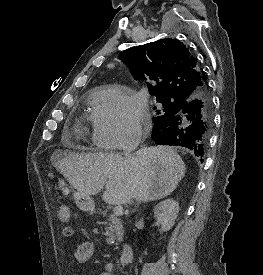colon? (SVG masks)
I'll return each instance as SVG.
<instances>
[{"instance_id":"5ec220e1","label":"colon","mask_w":263,"mask_h":275,"mask_svg":"<svg viewBox=\"0 0 263 275\" xmlns=\"http://www.w3.org/2000/svg\"><path fill=\"white\" fill-rule=\"evenodd\" d=\"M58 218L61 222H69L71 219V211L67 205H61L57 211Z\"/></svg>"}]
</instances>
